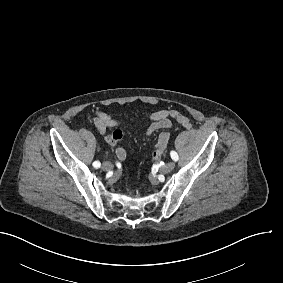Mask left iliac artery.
I'll use <instances>...</instances> for the list:
<instances>
[{
  "label": "left iliac artery",
  "mask_w": 283,
  "mask_h": 283,
  "mask_svg": "<svg viewBox=\"0 0 283 283\" xmlns=\"http://www.w3.org/2000/svg\"><path fill=\"white\" fill-rule=\"evenodd\" d=\"M170 155H171V158H172L174 161H177V160H178V154H177L175 151H171V152H170Z\"/></svg>",
  "instance_id": "left-iliac-artery-1"
}]
</instances>
